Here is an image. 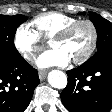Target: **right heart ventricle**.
<instances>
[{"label":"right heart ventricle","instance_id":"e07e8e85","mask_svg":"<svg viewBox=\"0 0 112 112\" xmlns=\"http://www.w3.org/2000/svg\"><path fill=\"white\" fill-rule=\"evenodd\" d=\"M76 21V18L61 12H47L36 16L31 25L37 34L44 39H51L62 28Z\"/></svg>","mask_w":112,"mask_h":112}]
</instances>
